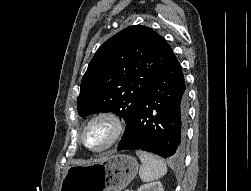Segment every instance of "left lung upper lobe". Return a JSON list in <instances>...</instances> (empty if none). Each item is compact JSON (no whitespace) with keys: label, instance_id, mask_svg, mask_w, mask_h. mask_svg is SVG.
Here are the masks:
<instances>
[{"label":"left lung upper lobe","instance_id":"1","mask_svg":"<svg viewBox=\"0 0 251 191\" xmlns=\"http://www.w3.org/2000/svg\"><path fill=\"white\" fill-rule=\"evenodd\" d=\"M171 54L166 40L151 28L134 25L120 31L88 65L77 98L79 115L113 111L125 119L127 130Z\"/></svg>","mask_w":251,"mask_h":191}]
</instances>
